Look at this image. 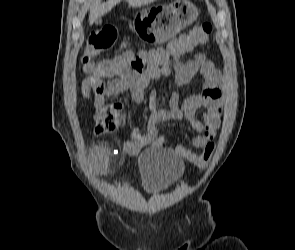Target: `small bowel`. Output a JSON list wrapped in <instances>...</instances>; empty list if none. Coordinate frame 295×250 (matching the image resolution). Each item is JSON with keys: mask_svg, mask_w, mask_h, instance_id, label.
Here are the masks:
<instances>
[{"mask_svg": "<svg viewBox=\"0 0 295 250\" xmlns=\"http://www.w3.org/2000/svg\"><path fill=\"white\" fill-rule=\"evenodd\" d=\"M127 42H123L113 59V71L107 75L91 74L84 78L81 91L85 98L92 99L95 109L105 105L109 97H117L128 92L132 99L141 103L145 97V90L151 80L168 77L172 70L175 73L177 86L190 82L197 73H201L204 83L200 92L185 97L182 101L177 92L168 98L165 107H158L156 90L153 89L149 97L150 115L144 131L135 128L133 138L121 147L128 155H137L142 148L151 145L162 147L167 139L160 135L157 126L160 123L185 119L196 132L191 145L196 149L213 142L221 125L223 98L221 91V75L213 62L203 53H197L192 59L181 61L180 58L191 49L180 50L175 40L166 49L132 50L126 49ZM122 110L120 104H116ZM204 109L201 118H197L198 110ZM173 150L186 159L194 153L182 145ZM109 150L105 147H95L91 150L92 163L99 171L106 170L109 160Z\"/></svg>", "mask_w": 295, "mask_h": 250, "instance_id": "1", "label": "small bowel"}]
</instances>
